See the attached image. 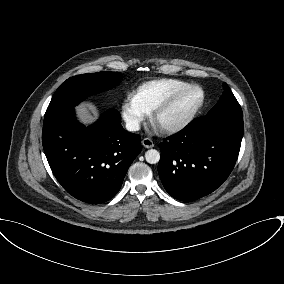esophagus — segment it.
Listing matches in <instances>:
<instances>
[{"label": "esophagus", "mask_w": 284, "mask_h": 284, "mask_svg": "<svg viewBox=\"0 0 284 284\" xmlns=\"http://www.w3.org/2000/svg\"><path fill=\"white\" fill-rule=\"evenodd\" d=\"M142 145L145 148H152V147H154V142L150 138H144L142 140Z\"/></svg>", "instance_id": "esophagus-1"}]
</instances>
